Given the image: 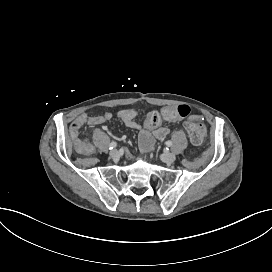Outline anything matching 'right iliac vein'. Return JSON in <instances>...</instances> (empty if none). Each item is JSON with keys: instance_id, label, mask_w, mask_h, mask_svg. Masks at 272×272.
<instances>
[{"instance_id": "1", "label": "right iliac vein", "mask_w": 272, "mask_h": 272, "mask_svg": "<svg viewBox=\"0 0 272 272\" xmlns=\"http://www.w3.org/2000/svg\"><path fill=\"white\" fill-rule=\"evenodd\" d=\"M111 158H117L119 156V151L114 149L109 153Z\"/></svg>"}]
</instances>
